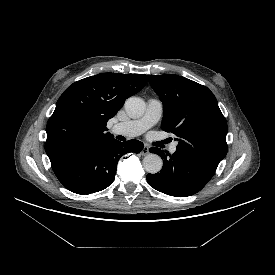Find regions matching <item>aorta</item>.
I'll return each instance as SVG.
<instances>
[{
  "instance_id": "1",
  "label": "aorta",
  "mask_w": 275,
  "mask_h": 275,
  "mask_svg": "<svg viewBox=\"0 0 275 275\" xmlns=\"http://www.w3.org/2000/svg\"><path fill=\"white\" fill-rule=\"evenodd\" d=\"M146 109L145 102L139 97H130L125 102V111L131 118L141 117ZM162 159L159 155L150 153L143 159L144 169L151 174H156L162 169Z\"/></svg>"
}]
</instances>
